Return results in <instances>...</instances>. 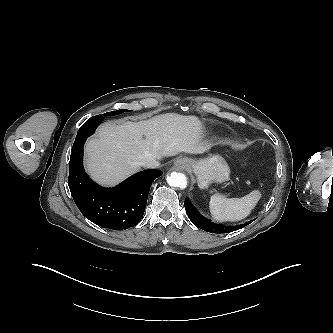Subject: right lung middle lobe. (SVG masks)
Segmentation results:
<instances>
[{"mask_svg": "<svg viewBox=\"0 0 333 333\" xmlns=\"http://www.w3.org/2000/svg\"><path fill=\"white\" fill-rule=\"evenodd\" d=\"M125 111H128V110L121 109V110H117V111H112V112L105 113L104 115L112 116V115H117V114L123 113Z\"/></svg>", "mask_w": 333, "mask_h": 333, "instance_id": "right-lung-middle-lobe-1", "label": "right lung middle lobe"}]
</instances>
